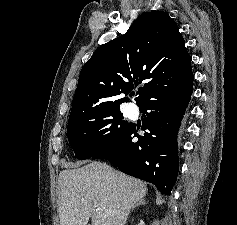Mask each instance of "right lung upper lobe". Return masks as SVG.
<instances>
[{
	"instance_id": "1",
	"label": "right lung upper lobe",
	"mask_w": 237,
	"mask_h": 225,
	"mask_svg": "<svg viewBox=\"0 0 237 225\" xmlns=\"http://www.w3.org/2000/svg\"><path fill=\"white\" fill-rule=\"evenodd\" d=\"M194 79L191 57L177 24L167 13L142 14L116 39L100 46L83 66L68 123L87 120L119 109L139 88L136 103L166 83L183 85Z\"/></svg>"
}]
</instances>
